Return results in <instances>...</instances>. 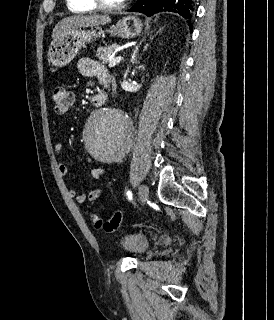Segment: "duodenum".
<instances>
[{
    "instance_id": "obj_1",
    "label": "duodenum",
    "mask_w": 274,
    "mask_h": 320,
    "mask_svg": "<svg viewBox=\"0 0 274 320\" xmlns=\"http://www.w3.org/2000/svg\"><path fill=\"white\" fill-rule=\"evenodd\" d=\"M106 101V95L103 93L96 94L91 98V103L95 106H100Z\"/></svg>"
}]
</instances>
